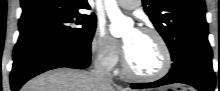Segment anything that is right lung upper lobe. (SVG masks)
Listing matches in <instances>:
<instances>
[{
	"label": "right lung upper lobe",
	"instance_id": "right-lung-upper-lobe-1",
	"mask_svg": "<svg viewBox=\"0 0 220 91\" xmlns=\"http://www.w3.org/2000/svg\"><path fill=\"white\" fill-rule=\"evenodd\" d=\"M23 9L19 24L45 16L90 9L87 0H21Z\"/></svg>",
	"mask_w": 220,
	"mask_h": 91
}]
</instances>
